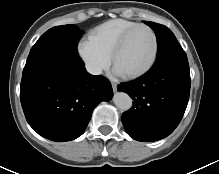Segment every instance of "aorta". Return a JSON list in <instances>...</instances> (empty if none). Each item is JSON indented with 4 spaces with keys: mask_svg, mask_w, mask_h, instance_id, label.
<instances>
[{
    "mask_svg": "<svg viewBox=\"0 0 219 174\" xmlns=\"http://www.w3.org/2000/svg\"><path fill=\"white\" fill-rule=\"evenodd\" d=\"M113 102L119 109L123 111H127L132 107V99L125 92L114 93Z\"/></svg>",
    "mask_w": 219,
    "mask_h": 174,
    "instance_id": "aorta-1",
    "label": "aorta"
}]
</instances>
